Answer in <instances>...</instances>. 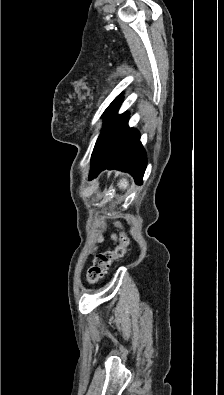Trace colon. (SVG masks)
Returning a JSON list of instances; mask_svg holds the SVG:
<instances>
[{"label": "colon", "mask_w": 224, "mask_h": 395, "mask_svg": "<svg viewBox=\"0 0 224 395\" xmlns=\"http://www.w3.org/2000/svg\"><path fill=\"white\" fill-rule=\"evenodd\" d=\"M128 244L129 238L124 235L121 237L118 244L108 250L98 253L95 256L92 265L87 270L88 282L92 285L98 283L103 278L111 264L124 256Z\"/></svg>", "instance_id": "5ec220e1"}]
</instances>
